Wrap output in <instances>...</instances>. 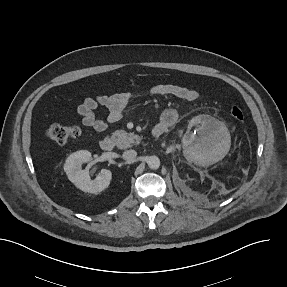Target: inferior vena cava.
Returning a JSON list of instances; mask_svg holds the SVG:
<instances>
[{
    "mask_svg": "<svg viewBox=\"0 0 287 287\" xmlns=\"http://www.w3.org/2000/svg\"><path fill=\"white\" fill-rule=\"evenodd\" d=\"M137 156V152L135 150H127L123 152V159L125 160H131L134 159Z\"/></svg>",
    "mask_w": 287,
    "mask_h": 287,
    "instance_id": "1",
    "label": "inferior vena cava"
}]
</instances>
